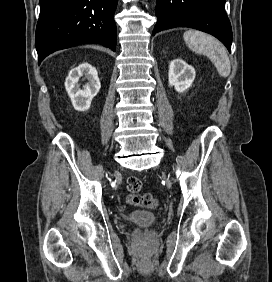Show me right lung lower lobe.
Wrapping results in <instances>:
<instances>
[{"label":"right lung lower lobe","mask_w":272,"mask_h":282,"mask_svg":"<svg viewBox=\"0 0 272 282\" xmlns=\"http://www.w3.org/2000/svg\"><path fill=\"white\" fill-rule=\"evenodd\" d=\"M118 0H40L35 46L38 64L49 54L84 43L116 50Z\"/></svg>","instance_id":"98d812e1"}]
</instances>
